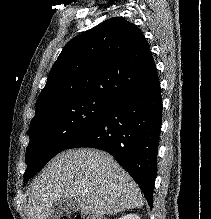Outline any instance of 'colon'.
Listing matches in <instances>:
<instances>
[{
    "label": "colon",
    "instance_id": "colon-1",
    "mask_svg": "<svg viewBox=\"0 0 211 219\" xmlns=\"http://www.w3.org/2000/svg\"><path fill=\"white\" fill-rule=\"evenodd\" d=\"M60 219H105L104 217L101 216H91V215H78L75 217L71 216H63Z\"/></svg>",
    "mask_w": 211,
    "mask_h": 219
}]
</instances>
